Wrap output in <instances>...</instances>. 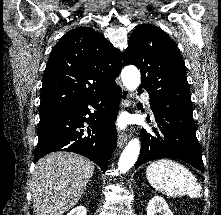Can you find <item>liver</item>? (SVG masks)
<instances>
[{
    "label": "liver",
    "mask_w": 221,
    "mask_h": 215,
    "mask_svg": "<svg viewBox=\"0 0 221 215\" xmlns=\"http://www.w3.org/2000/svg\"><path fill=\"white\" fill-rule=\"evenodd\" d=\"M94 163L71 152H53L35 165L31 191L35 215H63L80 200Z\"/></svg>",
    "instance_id": "obj_1"
}]
</instances>
